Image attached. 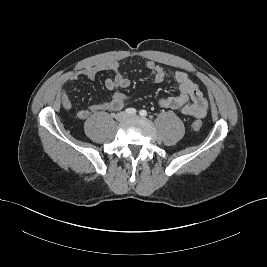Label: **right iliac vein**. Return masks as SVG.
<instances>
[{
  "instance_id": "63e3f726",
  "label": "right iliac vein",
  "mask_w": 267,
  "mask_h": 267,
  "mask_svg": "<svg viewBox=\"0 0 267 267\" xmlns=\"http://www.w3.org/2000/svg\"><path fill=\"white\" fill-rule=\"evenodd\" d=\"M126 118H127V115H126V113H124V112L118 113V114L116 115V119H117L118 121H123V120H125Z\"/></svg>"
}]
</instances>
